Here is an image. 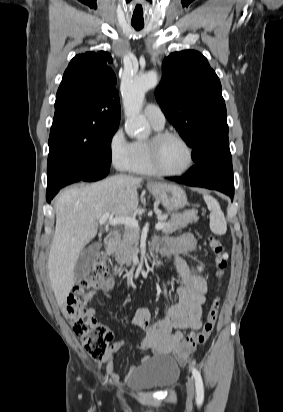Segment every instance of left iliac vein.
<instances>
[{
    "label": "left iliac vein",
    "mask_w": 283,
    "mask_h": 412,
    "mask_svg": "<svg viewBox=\"0 0 283 412\" xmlns=\"http://www.w3.org/2000/svg\"><path fill=\"white\" fill-rule=\"evenodd\" d=\"M186 388H187V396L189 400H192L195 395V388H194V380L191 377H188L187 383H186Z\"/></svg>",
    "instance_id": "4c4485c4"
}]
</instances>
